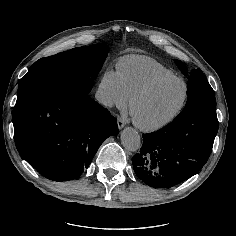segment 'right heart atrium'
Segmentation results:
<instances>
[{
  "mask_svg": "<svg viewBox=\"0 0 236 236\" xmlns=\"http://www.w3.org/2000/svg\"><path fill=\"white\" fill-rule=\"evenodd\" d=\"M97 99L108 109H124L128 105L130 96L117 70L112 68L104 70L97 89Z\"/></svg>",
  "mask_w": 236,
  "mask_h": 236,
  "instance_id": "right-heart-atrium-1",
  "label": "right heart atrium"
}]
</instances>
